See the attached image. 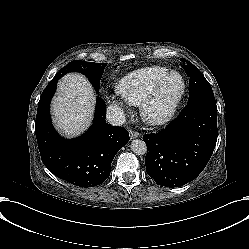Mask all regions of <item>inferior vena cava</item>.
Segmentation results:
<instances>
[{
    "mask_svg": "<svg viewBox=\"0 0 249 249\" xmlns=\"http://www.w3.org/2000/svg\"><path fill=\"white\" fill-rule=\"evenodd\" d=\"M106 120L110 125L122 126L126 117L124 111L117 105H109L106 110Z\"/></svg>",
    "mask_w": 249,
    "mask_h": 249,
    "instance_id": "obj_1",
    "label": "inferior vena cava"
}]
</instances>
